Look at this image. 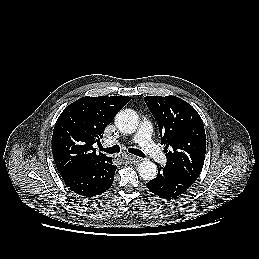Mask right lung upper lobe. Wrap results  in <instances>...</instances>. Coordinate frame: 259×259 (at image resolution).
Segmentation results:
<instances>
[{
    "instance_id": "obj_1",
    "label": "right lung upper lobe",
    "mask_w": 259,
    "mask_h": 259,
    "mask_svg": "<svg viewBox=\"0 0 259 259\" xmlns=\"http://www.w3.org/2000/svg\"><path fill=\"white\" fill-rule=\"evenodd\" d=\"M129 100L128 96H87L64 109L52 135V153L61 176L110 158L96 154L93 144L100 143L105 127Z\"/></svg>"
}]
</instances>
